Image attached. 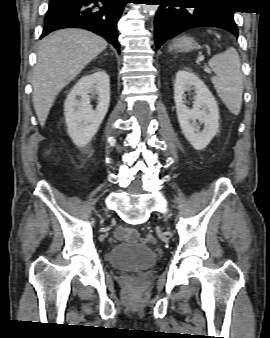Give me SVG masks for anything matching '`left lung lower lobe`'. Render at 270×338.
<instances>
[{"mask_svg": "<svg viewBox=\"0 0 270 338\" xmlns=\"http://www.w3.org/2000/svg\"><path fill=\"white\" fill-rule=\"evenodd\" d=\"M160 7L155 17V40L158 49L164 41L196 27H217L238 36L234 10L224 0H153ZM178 4V5H177ZM187 5H195L194 9Z\"/></svg>", "mask_w": 270, "mask_h": 338, "instance_id": "obj_1", "label": "left lung lower lobe"}]
</instances>
